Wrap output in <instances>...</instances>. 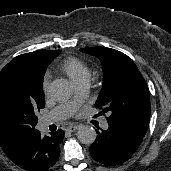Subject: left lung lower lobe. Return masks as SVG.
<instances>
[{
	"label": "left lung lower lobe",
	"mask_w": 171,
	"mask_h": 171,
	"mask_svg": "<svg viewBox=\"0 0 171 171\" xmlns=\"http://www.w3.org/2000/svg\"><path fill=\"white\" fill-rule=\"evenodd\" d=\"M107 130L98 132L90 146L92 158L104 165H120L130 159L141 144L145 134L128 127L108 123Z\"/></svg>",
	"instance_id": "1"
}]
</instances>
